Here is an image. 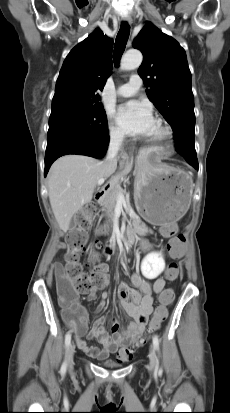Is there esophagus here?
<instances>
[{
    "instance_id": "1",
    "label": "esophagus",
    "mask_w": 230,
    "mask_h": 413,
    "mask_svg": "<svg viewBox=\"0 0 230 413\" xmlns=\"http://www.w3.org/2000/svg\"><path fill=\"white\" fill-rule=\"evenodd\" d=\"M123 21H125V22H127V23H131L132 22V18L130 17V16H128V15H126V16H123Z\"/></svg>"
}]
</instances>
